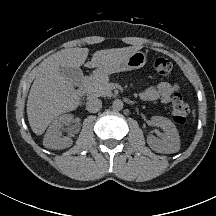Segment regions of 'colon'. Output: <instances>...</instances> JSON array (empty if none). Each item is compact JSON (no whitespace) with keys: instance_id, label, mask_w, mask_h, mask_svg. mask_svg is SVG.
Segmentation results:
<instances>
[{"instance_id":"colon-1","label":"colon","mask_w":216,"mask_h":216,"mask_svg":"<svg viewBox=\"0 0 216 216\" xmlns=\"http://www.w3.org/2000/svg\"><path fill=\"white\" fill-rule=\"evenodd\" d=\"M154 68L159 76H169L173 70V62L165 57H157L154 60ZM172 117L179 124L184 125L189 116V107L180 94H175L172 99Z\"/></svg>"}]
</instances>
